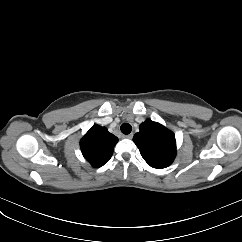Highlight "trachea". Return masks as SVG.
<instances>
[{
  "label": "trachea",
  "instance_id": "trachea-1",
  "mask_svg": "<svg viewBox=\"0 0 242 242\" xmlns=\"http://www.w3.org/2000/svg\"><path fill=\"white\" fill-rule=\"evenodd\" d=\"M120 129L123 134L127 135L132 131V126L128 123H123Z\"/></svg>",
  "mask_w": 242,
  "mask_h": 242
}]
</instances>
